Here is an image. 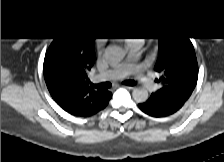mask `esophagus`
Here are the masks:
<instances>
[{
    "instance_id": "34e87169",
    "label": "esophagus",
    "mask_w": 224,
    "mask_h": 162,
    "mask_svg": "<svg viewBox=\"0 0 224 162\" xmlns=\"http://www.w3.org/2000/svg\"><path fill=\"white\" fill-rule=\"evenodd\" d=\"M123 87L126 88V89H129V90L134 89V87H132V86H123Z\"/></svg>"
}]
</instances>
